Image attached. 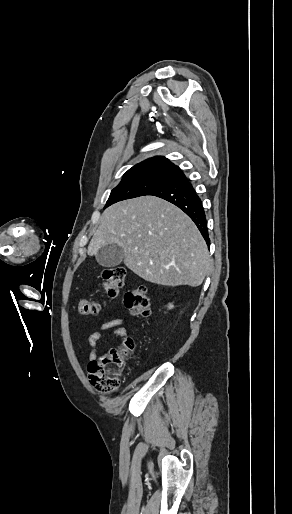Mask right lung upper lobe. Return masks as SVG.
Listing matches in <instances>:
<instances>
[{
  "label": "right lung upper lobe",
  "mask_w": 292,
  "mask_h": 514,
  "mask_svg": "<svg viewBox=\"0 0 292 514\" xmlns=\"http://www.w3.org/2000/svg\"><path fill=\"white\" fill-rule=\"evenodd\" d=\"M180 171V168L163 156H155L142 161L130 168L125 174H136L145 172H165L170 175Z\"/></svg>",
  "instance_id": "obj_1"
}]
</instances>
